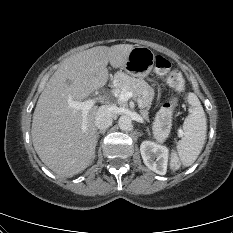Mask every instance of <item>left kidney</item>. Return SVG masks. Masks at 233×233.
<instances>
[{"instance_id":"5707ae66","label":"left kidney","mask_w":233,"mask_h":233,"mask_svg":"<svg viewBox=\"0 0 233 233\" xmlns=\"http://www.w3.org/2000/svg\"><path fill=\"white\" fill-rule=\"evenodd\" d=\"M140 152L144 164L153 172L165 175L168 164L167 147L152 141H143L140 145Z\"/></svg>"}]
</instances>
